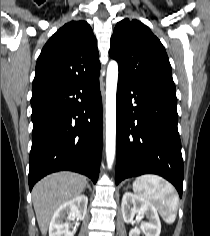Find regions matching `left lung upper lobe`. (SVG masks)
Wrapping results in <instances>:
<instances>
[{"label":"left lung upper lobe","mask_w":210,"mask_h":236,"mask_svg":"<svg viewBox=\"0 0 210 236\" xmlns=\"http://www.w3.org/2000/svg\"><path fill=\"white\" fill-rule=\"evenodd\" d=\"M109 54L118 62L120 78L136 85L175 90L164 46L140 21L117 23Z\"/></svg>","instance_id":"left-lung-upper-lobe-1"}]
</instances>
